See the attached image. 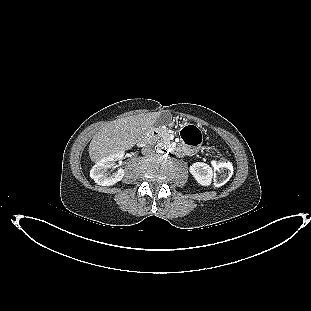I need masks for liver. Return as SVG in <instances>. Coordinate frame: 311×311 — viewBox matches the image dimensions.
<instances>
[{
    "mask_svg": "<svg viewBox=\"0 0 311 311\" xmlns=\"http://www.w3.org/2000/svg\"><path fill=\"white\" fill-rule=\"evenodd\" d=\"M160 113L150 112L114 120L100 129L89 145L93 162L132 148L156 123Z\"/></svg>",
    "mask_w": 311,
    "mask_h": 311,
    "instance_id": "1",
    "label": "liver"
}]
</instances>
